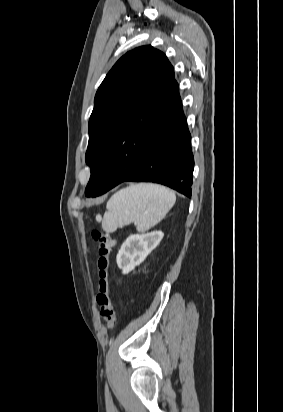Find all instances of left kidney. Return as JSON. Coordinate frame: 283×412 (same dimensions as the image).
<instances>
[{"label":"left kidney","instance_id":"left-kidney-1","mask_svg":"<svg viewBox=\"0 0 283 412\" xmlns=\"http://www.w3.org/2000/svg\"><path fill=\"white\" fill-rule=\"evenodd\" d=\"M163 236L164 233L162 231L129 236L122 244L116 257L117 265L122 270V273L128 274L136 266H139L158 246Z\"/></svg>","mask_w":283,"mask_h":412}]
</instances>
